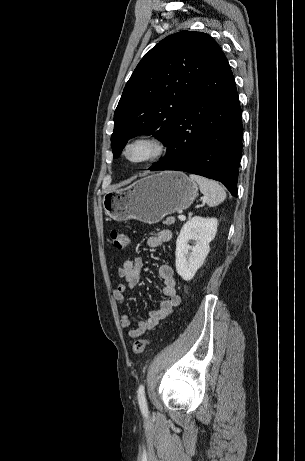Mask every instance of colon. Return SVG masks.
Masks as SVG:
<instances>
[{"label":"colon","mask_w":305,"mask_h":461,"mask_svg":"<svg viewBox=\"0 0 305 461\" xmlns=\"http://www.w3.org/2000/svg\"><path fill=\"white\" fill-rule=\"evenodd\" d=\"M111 238L115 247L118 250H124L128 247L130 243L129 236L121 231L113 230L111 231ZM149 341L147 339H139L133 343L132 349L135 354H141L145 350L146 346L148 345Z\"/></svg>","instance_id":"5ec220e1"}]
</instances>
